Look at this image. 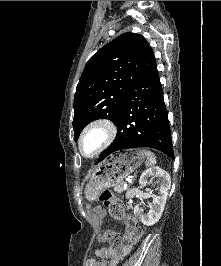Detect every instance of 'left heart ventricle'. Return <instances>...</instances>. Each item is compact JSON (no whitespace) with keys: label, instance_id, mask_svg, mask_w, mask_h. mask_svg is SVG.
<instances>
[{"label":"left heart ventricle","instance_id":"b2bd125f","mask_svg":"<svg viewBox=\"0 0 221 266\" xmlns=\"http://www.w3.org/2000/svg\"><path fill=\"white\" fill-rule=\"evenodd\" d=\"M101 138H102L101 131H95L92 134H90L84 142L85 151L87 153H91L92 151H94V149L99 144Z\"/></svg>","mask_w":221,"mask_h":266}]
</instances>
